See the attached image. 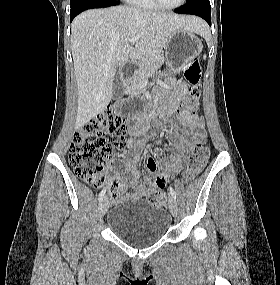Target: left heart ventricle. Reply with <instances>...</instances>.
Masks as SVG:
<instances>
[{
    "label": "left heart ventricle",
    "mask_w": 280,
    "mask_h": 285,
    "mask_svg": "<svg viewBox=\"0 0 280 285\" xmlns=\"http://www.w3.org/2000/svg\"><path fill=\"white\" fill-rule=\"evenodd\" d=\"M180 0H161V2L167 6H173L179 3Z\"/></svg>",
    "instance_id": "b2bd125f"
}]
</instances>
